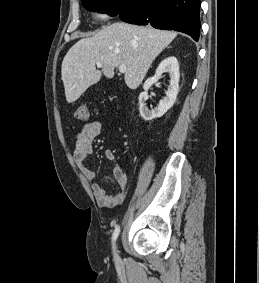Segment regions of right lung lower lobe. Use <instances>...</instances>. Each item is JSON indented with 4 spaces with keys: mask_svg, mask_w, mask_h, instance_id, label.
Here are the masks:
<instances>
[{
    "mask_svg": "<svg viewBox=\"0 0 259 283\" xmlns=\"http://www.w3.org/2000/svg\"><path fill=\"white\" fill-rule=\"evenodd\" d=\"M199 9L200 0H120L117 14L125 22L180 31L198 41Z\"/></svg>",
    "mask_w": 259,
    "mask_h": 283,
    "instance_id": "1",
    "label": "right lung lower lobe"
}]
</instances>
